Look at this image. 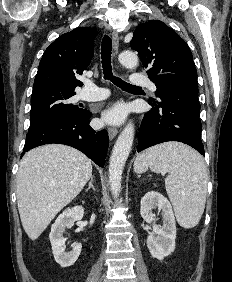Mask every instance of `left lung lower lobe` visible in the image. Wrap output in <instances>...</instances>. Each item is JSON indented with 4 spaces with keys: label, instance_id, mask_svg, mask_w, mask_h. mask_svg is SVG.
Instances as JSON below:
<instances>
[{
    "label": "left lung lower lobe",
    "instance_id": "0a47b994",
    "mask_svg": "<svg viewBox=\"0 0 232 282\" xmlns=\"http://www.w3.org/2000/svg\"><path fill=\"white\" fill-rule=\"evenodd\" d=\"M158 100L141 122L137 152L153 145L179 141L205 154L201 141L198 88L164 86L156 91Z\"/></svg>",
    "mask_w": 232,
    "mask_h": 282
}]
</instances>
